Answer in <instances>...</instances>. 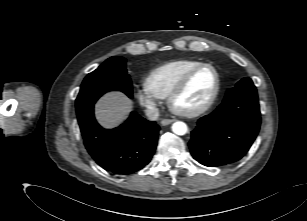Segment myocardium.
Segmentation results:
<instances>
[{"label":"myocardium","mask_w":307,"mask_h":221,"mask_svg":"<svg viewBox=\"0 0 307 221\" xmlns=\"http://www.w3.org/2000/svg\"><path fill=\"white\" fill-rule=\"evenodd\" d=\"M204 68H210L213 70L215 74V87L213 90V93L211 94L210 98L200 107L190 110V111H183L176 107V100L177 98L186 90L188 85L190 84L191 80L194 78V76L200 72ZM221 86V78L220 74L215 66L209 63H202L201 65L193 68L190 70L175 86V88L171 91L169 96L167 97V103L170 108V110L179 116L188 117V118H194L197 116H200L207 112L215 103Z\"/></svg>","instance_id":"1"}]
</instances>
